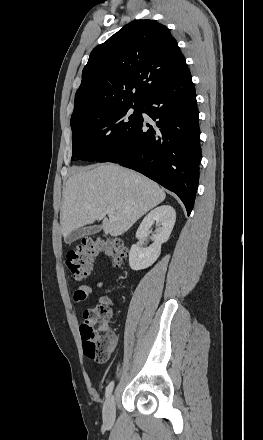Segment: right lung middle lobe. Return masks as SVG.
Returning a JSON list of instances; mask_svg holds the SVG:
<instances>
[{
    "label": "right lung middle lobe",
    "instance_id": "right-lung-middle-lobe-1",
    "mask_svg": "<svg viewBox=\"0 0 263 440\" xmlns=\"http://www.w3.org/2000/svg\"><path fill=\"white\" fill-rule=\"evenodd\" d=\"M134 112L131 113L130 109ZM141 103L102 109L79 118L72 126V161H96L129 135L141 120Z\"/></svg>",
    "mask_w": 263,
    "mask_h": 440
}]
</instances>
